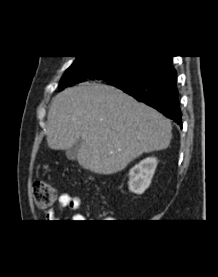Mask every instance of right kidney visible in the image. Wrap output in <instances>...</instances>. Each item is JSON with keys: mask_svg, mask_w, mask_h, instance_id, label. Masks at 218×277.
<instances>
[{"mask_svg": "<svg viewBox=\"0 0 218 277\" xmlns=\"http://www.w3.org/2000/svg\"><path fill=\"white\" fill-rule=\"evenodd\" d=\"M157 163L155 157H148L130 169L128 186L131 192L142 194L149 187Z\"/></svg>", "mask_w": 218, "mask_h": 277, "instance_id": "right-kidney-1", "label": "right kidney"}]
</instances>
